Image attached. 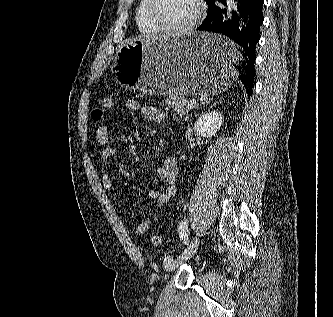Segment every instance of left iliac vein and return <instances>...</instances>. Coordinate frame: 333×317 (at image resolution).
I'll list each match as a JSON object with an SVG mask.
<instances>
[{
  "label": "left iliac vein",
  "mask_w": 333,
  "mask_h": 317,
  "mask_svg": "<svg viewBox=\"0 0 333 317\" xmlns=\"http://www.w3.org/2000/svg\"><path fill=\"white\" fill-rule=\"evenodd\" d=\"M199 246V239L194 238L190 246L188 247L187 252H183L178 258L172 260L168 264H166L165 269L167 272L175 270L177 267H179L183 262L190 259L195 252L197 251Z\"/></svg>",
  "instance_id": "obj_1"
}]
</instances>
